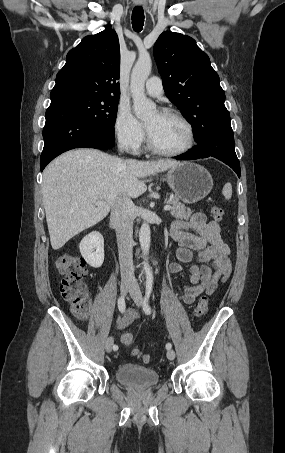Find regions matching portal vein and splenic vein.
<instances>
[{
    "label": "portal vein and splenic vein",
    "instance_id": "portal-vein-and-splenic-vein-1",
    "mask_svg": "<svg viewBox=\"0 0 285 453\" xmlns=\"http://www.w3.org/2000/svg\"><path fill=\"white\" fill-rule=\"evenodd\" d=\"M171 209H172V206L169 205V204H166V205L164 206V210H165V211H168V210H171Z\"/></svg>",
    "mask_w": 285,
    "mask_h": 453
}]
</instances>
